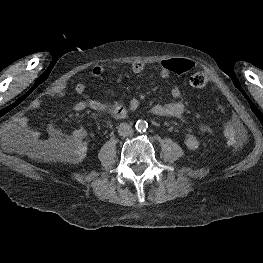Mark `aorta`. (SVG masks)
I'll return each mask as SVG.
<instances>
[{
	"mask_svg": "<svg viewBox=\"0 0 263 263\" xmlns=\"http://www.w3.org/2000/svg\"><path fill=\"white\" fill-rule=\"evenodd\" d=\"M137 131H145L148 128V124L144 120H138L136 125H135Z\"/></svg>",
	"mask_w": 263,
	"mask_h": 263,
	"instance_id": "obj_1",
	"label": "aorta"
}]
</instances>
